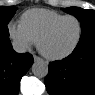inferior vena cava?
<instances>
[{
	"label": "inferior vena cava",
	"mask_w": 95,
	"mask_h": 95,
	"mask_svg": "<svg viewBox=\"0 0 95 95\" xmlns=\"http://www.w3.org/2000/svg\"><path fill=\"white\" fill-rule=\"evenodd\" d=\"M12 46L17 53H25L27 51V47L21 41H13Z\"/></svg>",
	"instance_id": "602c4592"
}]
</instances>
